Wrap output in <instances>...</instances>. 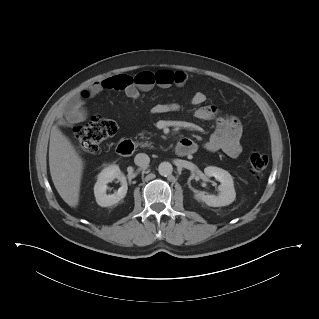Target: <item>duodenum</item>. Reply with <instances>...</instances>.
<instances>
[{"label": "duodenum", "mask_w": 319, "mask_h": 319, "mask_svg": "<svg viewBox=\"0 0 319 319\" xmlns=\"http://www.w3.org/2000/svg\"><path fill=\"white\" fill-rule=\"evenodd\" d=\"M134 150V143L131 140L121 141L117 146V153L122 156L129 155ZM196 150V144L194 141L188 138H184L176 145V154L178 156H188L194 153Z\"/></svg>", "instance_id": "duodenum-1"}]
</instances>
